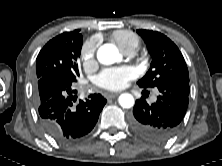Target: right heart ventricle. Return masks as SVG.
<instances>
[{
  "label": "right heart ventricle",
  "mask_w": 222,
  "mask_h": 166,
  "mask_svg": "<svg viewBox=\"0 0 222 166\" xmlns=\"http://www.w3.org/2000/svg\"><path fill=\"white\" fill-rule=\"evenodd\" d=\"M111 38L125 54L135 53L140 45V38L128 30L115 31Z\"/></svg>",
  "instance_id": "right-heart-ventricle-1"
}]
</instances>
